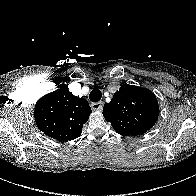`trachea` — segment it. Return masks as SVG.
Instances as JSON below:
<instances>
[{"mask_svg": "<svg viewBox=\"0 0 196 196\" xmlns=\"http://www.w3.org/2000/svg\"><path fill=\"white\" fill-rule=\"evenodd\" d=\"M101 97L102 93L99 89H93L89 95V99L94 103L99 102L101 100Z\"/></svg>", "mask_w": 196, "mask_h": 196, "instance_id": "3493384b", "label": "trachea"}]
</instances>
